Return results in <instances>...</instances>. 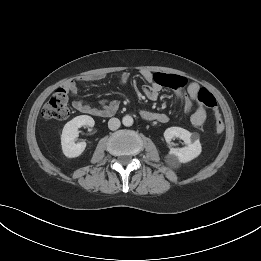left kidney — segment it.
<instances>
[{
    "instance_id": "left-kidney-1",
    "label": "left kidney",
    "mask_w": 261,
    "mask_h": 261,
    "mask_svg": "<svg viewBox=\"0 0 261 261\" xmlns=\"http://www.w3.org/2000/svg\"><path fill=\"white\" fill-rule=\"evenodd\" d=\"M175 137L182 139L187 146L171 148L167 156L169 161L186 163L200 155L202 147L196 134L181 127H170L165 130L164 138L167 143Z\"/></svg>"
}]
</instances>
